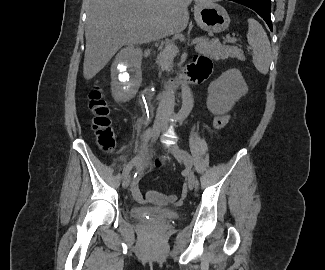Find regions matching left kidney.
<instances>
[{"label":"left kidney","mask_w":325,"mask_h":270,"mask_svg":"<svg viewBox=\"0 0 325 270\" xmlns=\"http://www.w3.org/2000/svg\"><path fill=\"white\" fill-rule=\"evenodd\" d=\"M248 92V86L238 69H230L222 73L208 87L207 108L215 114L229 112L236 101Z\"/></svg>","instance_id":"left-kidney-1"}]
</instances>
